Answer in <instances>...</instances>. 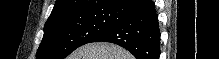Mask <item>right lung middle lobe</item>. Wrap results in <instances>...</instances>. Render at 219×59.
Masks as SVG:
<instances>
[{
    "instance_id": "dd1d6c3e",
    "label": "right lung middle lobe",
    "mask_w": 219,
    "mask_h": 59,
    "mask_svg": "<svg viewBox=\"0 0 219 59\" xmlns=\"http://www.w3.org/2000/svg\"><path fill=\"white\" fill-rule=\"evenodd\" d=\"M119 19V14L112 8L65 15L47 21L36 58L64 59L78 47L91 43Z\"/></svg>"
}]
</instances>
